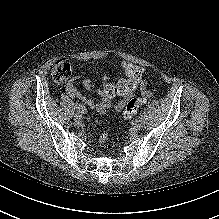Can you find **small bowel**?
<instances>
[{"mask_svg": "<svg viewBox=\"0 0 219 219\" xmlns=\"http://www.w3.org/2000/svg\"><path fill=\"white\" fill-rule=\"evenodd\" d=\"M78 76L73 77L70 81H68L67 85H66V93L68 94V96H70L71 98L74 99H78L83 101L84 103H86L89 107H91L94 110L97 111H102L101 105L103 102V97L100 101H94L91 98L86 97L85 95H83L80 91H78L75 86H74V82L78 79ZM83 85L87 90H91L93 88V84L92 81L89 79H85L83 81ZM146 85L147 82L145 80L142 81L141 83V88H142V94L145 97H150L151 96V92L149 90L146 89ZM123 102H120L117 106L118 109H120L123 105Z\"/></svg>", "mask_w": 219, "mask_h": 219, "instance_id": "small-bowel-1", "label": "small bowel"}]
</instances>
